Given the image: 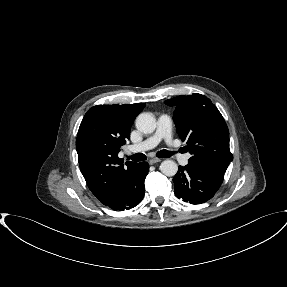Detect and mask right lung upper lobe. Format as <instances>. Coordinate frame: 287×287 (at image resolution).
<instances>
[{
    "label": "right lung upper lobe",
    "mask_w": 287,
    "mask_h": 287,
    "mask_svg": "<svg viewBox=\"0 0 287 287\" xmlns=\"http://www.w3.org/2000/svg\"><path fill=\"white\" fill-rule=\"evenodd\" d=\"M145 103L97 105L85 114L76 139L81 172L91 192L103 202L117 182L136 163L118 157L120 147L130 138L135 117Z\"/></svg>",
    "instance_id": "obj_1"
}]
</instances>
